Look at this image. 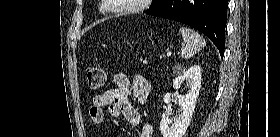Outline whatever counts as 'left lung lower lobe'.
<instances>
[{"label":"left lung lower lobe","mask_w":280,"mask_h":137,"mask_svg":"<svg viewBox=\"0 0 280 137\" xmlns=\"http://www.w3.org/2000/svg\"><path fill=\"white\" fill-rule=\"evenodd\" d=\"M228 0H163L148 15L185 23L206 35L223 57Z\"/></svg>","instance_id":"1"}]
</instances>
